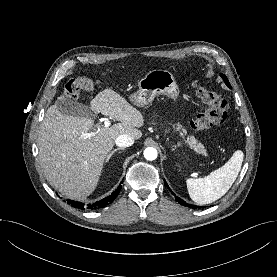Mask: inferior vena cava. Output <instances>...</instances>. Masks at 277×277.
Returning a JSON list of instances; mask_svg holds the SVG:
<instances>
[{
	"label": "inferior vena cava",
	"instance_id": "inferior-vena-cava-1",
	"mask_svg": "<svg viewBox=\"0 0 277 277\" xmlns=\"http://www.w3.org/2000/svg\"><path fill=\"white\" fill-rule=\"evenodd\" d=\"M115 143L117 146L122 148L130 147L133 145L134 139L130 135L122 134L116 138Z\"/></svg>",
	"mask_w": 277,
	"mask_h": 277
}]
</instances>
